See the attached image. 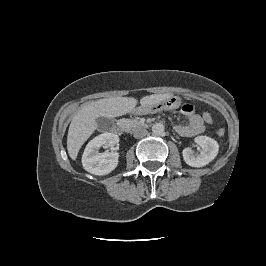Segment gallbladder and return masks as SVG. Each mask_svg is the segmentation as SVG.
Returning a JSON list of instances; mask_svg holds the SVG:
<instances>
[{"label": "gallbladder", "mask_w": 266, "mask_h": 266, "mask_svg": "<svg viewBox=\"0 0 266 266\" xmlns=\"http://www.w3.org/2000/svg\"><path fill=\"white\" fill-rule=\"evenodd\" d=\"M97 127L100 130H109L112 128L113 121L110 118L99 117L96 119Z\"/></svg>", "instance_id": "gallbladder-1"}]
</instances>
